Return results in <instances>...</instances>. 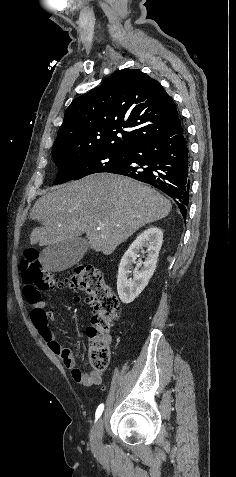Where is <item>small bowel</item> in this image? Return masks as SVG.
<instances>
[{
  "label": "small bowel",
  "mask_w": 236,
  "mask_h": 477,
  "mask_svg": "<svg viewBox=\"0 0 236 477\" xmlns=\"http://www.w3.org/2000/svg\"><path fill=\"white\" fill-rule=\"evenodd\" d=\"M76 300L79 301V299ZM30 303L32 305L30 314L32 324L49 349L62 359L65 367L71 370L73 379L77 383L89 386L100 384L102 375L98 372L82 373L78 370L75 367L76 361L72 349L62 346L57 340L54 331L50 327V324L55 320V313L48 311L43 301L38 300Z\"/></svg>",
  "instance_id": "c3829d8e"
}]
</instances>
